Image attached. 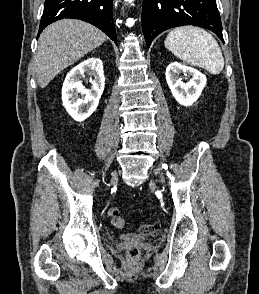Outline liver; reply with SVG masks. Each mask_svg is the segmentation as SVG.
<instances>
[{
	"mask_svg": "<svg viewBox=\"0 0 259 294\" xmlns=\"http://www.w3.org/2000/svg\"><path fill=\"white\" fill-rule=\"evenodd\" d=\"M107 36L93 25L63 19L48 26L40 35L35 57L39 87L45 88L63 69L102 45Z\"/></svg>",
	"mask_w": 259,
	"mask_h": 294,
	"instance_id": "6515ba94",
	"label": "liver"
}]
</instances>
